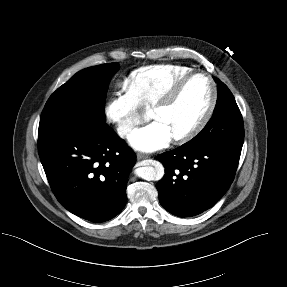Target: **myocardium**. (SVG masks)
I'll return each instance as SVG.
<instances>
[{
  "instance_id": "1",
  "label": "myocardium",
  "mask_w": 287,
  "mask_h": 287,
  "mask_svg": "<svg viewBox=\"0 0 287 287\" xmlns=\"http://www.w3.org/2000/svg\"><path fill=\"white\" fill-rule=\"evenodd\" d=\"M195 77H203L209 82L211 88L210 102L204 114L196 122L195 125H193L190 129L181 134L172 136L173 140L178 143L187 142L193 137H195L198 133L202 131V129L207 125V123L211 119L218 100V89L213 78L209 74L204 72H190L181 77L180 79H178L168 89V91L154 105L151 106V112H156L169 107L175 101L180 91L185 86V84Z\"/></svg>"
}]
</instances>
